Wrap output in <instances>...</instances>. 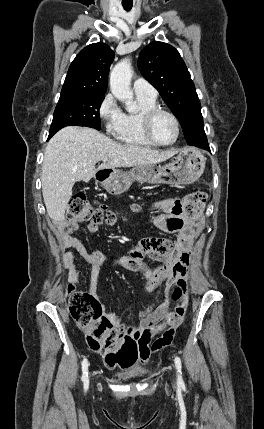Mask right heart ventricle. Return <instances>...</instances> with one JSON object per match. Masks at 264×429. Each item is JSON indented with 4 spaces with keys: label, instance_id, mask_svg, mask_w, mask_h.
Here are the masks:
<instances>
[{
    "label": "right heart ventricle",
    "instance_id": "1",
    "mask_svg": "<svg viewBox=\"0 0 264 429\" xmlns=\"http://www.w3.org/2000/svg\"><path fill=\"white\" fill-rule=\"evenodd\" d=\"M139 108L134 112L122 114L120 125L115 132L118 141L132 146L152 147L154 146L144 135L142 130V114L157 106L156 98L137 95Z\"/></svg>",
    "mask_w": 264,
    "mask_h": 429
}]
</instances>
